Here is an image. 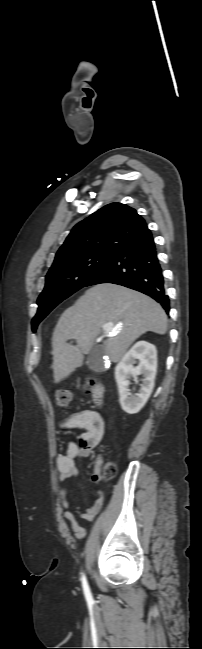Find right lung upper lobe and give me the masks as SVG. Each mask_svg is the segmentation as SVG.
Wrapping results in <instances>:
<instances>
[{"label":"right lung upper lobe","mask_w":202,"mask_h":649,"mask_svg":"<svg viewBox=\"0 0 202 649\" xmlns=\"http://www.w3.org/2000/svg\"><path fill=\"white\" fill-rule=\"evenodd\" d=\"M149 232L145 220L135 209L117 202L108 204L71 230L56 253L53 265L89 251L117 253L130 242Z\"/></svg>","instance_id":"right-lung-upper-lobe-1"}]
</instances>
